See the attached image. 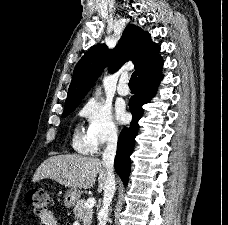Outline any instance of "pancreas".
Returning a JSON list of instances; mask_svg holds the SVG:
<instances>
[{
    "mask_svg": "<svg viewBox=\"0 0 228 225\" xmlns=\"http://www.w3.org/2000/svg\"><path fill=\"white\" fill-rule=\"evenodd\" d=\"M84 203V199L76 201V205H74L73 209V215L75 219H81L82 225H91L93 209H83Z\"/></svg>",
    "mask_w": 228,
    "mask_h": 225,
    "instance_id": "obj_1",
    "label": "pancreas"
}]
</instances>
